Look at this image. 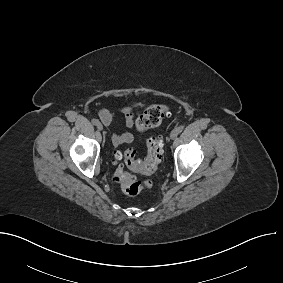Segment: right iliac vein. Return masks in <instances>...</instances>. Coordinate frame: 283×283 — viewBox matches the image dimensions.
<instances>
[{
	"label": "right iliac vein",
	"mask_w": 283,
	"mask_h": 283,
	"mask_svg": "<svg viewBox=\"0 0 283 283\" xmlns=\"http://www.w3.org/2000/svg\"><path fill=\"white\" fill-rule=\"evenodd\" d=\"M97 128H98V130H102L103 129V126H102V124L101 123H99L98 125H97Z\"/></svg>",
	"instance_id": "63e3f726"
}]
</instances>
